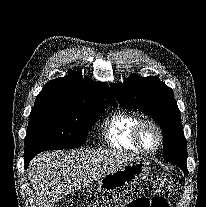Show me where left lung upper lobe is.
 Instances as JSON below:
<instances>
[{
  "mask_svg": "<svg viewBox=\"0 0 206 207\" xmlns=\"http://www.w3.org/2000/svg\"><path fill=\"white\" fill-rule=\"evenodd\" d=\"M111 88L121 106L138 109L160 125L164 136V159L188 174L186 140L172 89L157 77L137 75H131L123 83L112 84Z\"/></svg>",
  "mask_w": 206,
  "mask_h": 207,
  "instance_id": "5c2ea615",
  "label": "left lung upper lobe"
}]
</instances>
